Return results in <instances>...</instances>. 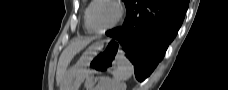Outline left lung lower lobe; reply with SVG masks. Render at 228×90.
Returning a JSON list of instances; mask_svg holds the SVG:
<instances>
[{"instance_id": "0a47b994", "label": "left lung lower lobe", "mask_w": 228, "mask_h": 90, "mask_svg": "<svg viewBox=\"0 0 228 90\" xmlns=\"http://www.w3.org/2000/svg\"><path fill=\"white\" fill-rule=\"evenodd\" d=\"M187 0H128L123 26L107 31L135 65L138 81L147 78L175 38L188 8Z\"/></svg>"}]
</instances>
